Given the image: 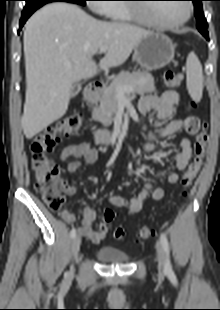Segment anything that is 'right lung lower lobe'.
<instances>
[{"instance_id": "1", "label": "right lung lower lobe", "mask_w": 220, "mask_h": 310, "mask_svg": "<svg viewBox=\"0 0 220 310\" xmlns=\"http://www.w3.org/2000/svg\"><path fill=\"white\" fill-rule=\"evenodd\" d=\"M55 1H66V2L74 3V2H72L70 0H55ZM44 4H46V3H44ZM44 4L37 5V6H25L23 11H22V16H21V19H20V27H19V29L22 28V26L24 25L26 20L32 15V13L34 11H36L38 8H40L41 6H43Z\"/></svg>"}]
</instances>
